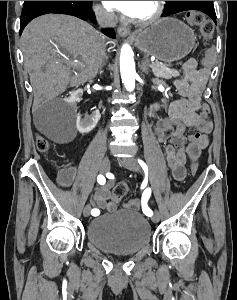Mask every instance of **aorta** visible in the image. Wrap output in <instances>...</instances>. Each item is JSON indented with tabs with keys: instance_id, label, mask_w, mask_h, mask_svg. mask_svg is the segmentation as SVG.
<instances>
[{
	"instance_id": "obj_1",
	"label": "aorta",
	"mask_w": 237,
	"mask_h": 300,
	"mask_svg": "<svg viewBox=\"0 0 237 300\" xmlns=\"http://www.w3.org/2000/svg\"><path fill=\"white\" fill-rule=\"evenodd\" d=\"M120 73L125 89H127V91H134L136 71L132 51L129 45H123L121 49Z\"/></svg>"
}]
</instances>
